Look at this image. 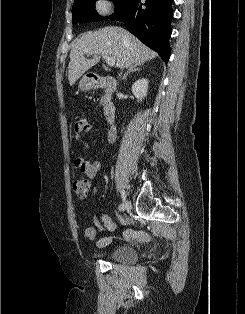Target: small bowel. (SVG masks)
<instances>
[{
	"label": "small bowel",
	"mask_w": 245,
	"mask_h": 314,
	"mask_svg": "<svg viewBox=\"0 0 245 314\" xmlns=\"http://www.w3.org/2000/svg\"><path fill=\"white\" fill-rule=\"evenodd\" d=\"M85 124V126L83 125ZM91 128V125L87 118L79 119L74 126V137L75 140L83 145L89 150L88 143L83 139V135L87 133ZM108 141L110 143H115L116 132L115 130H110L107 135ZM76 166L82 171L87 172L91 177H94L102 168V163L97 160L90 159L89 156L79 157L76 160ZM97 193V188H93V194ZM95 224L99 230L114 231L117 226L107 215H101L99 218L95 219ZM84 235L87 239L93 240L96 237V230L94 228H86ZM126 239H137L139 241H147L149 239L148 233L144 231L129 230L125 234ZM113 240V236H107L99 240L98 245L104 246Z\"/></svg>",
	"instance_id": "small-bowel-1"
}]
</instances>
